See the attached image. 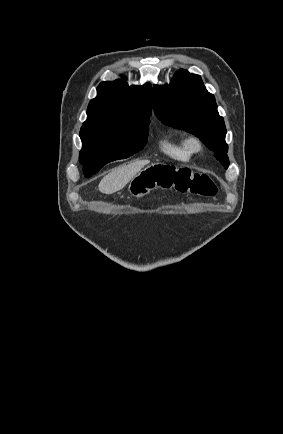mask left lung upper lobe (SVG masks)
Wrapping results in <instances>:
<instances>
[{"mask_svg": "<svg viewBox=\"0 0 283 434\" xmlns=\"http://www.w3.org/2000/svg\"><path fill=\"white\" fill-rule=\"evenodd\" d=\"M153 110L165 125L185 130L199 139L227 168L226 128L219 116L215 98L199 75L186 70L176 72L169 85H154Z\"/></svg>", "mask_w": 283, "mask_h": 434, "instance_id": "1", "label": "left lung upper lobe"}]
</instances>
